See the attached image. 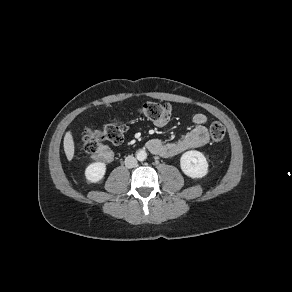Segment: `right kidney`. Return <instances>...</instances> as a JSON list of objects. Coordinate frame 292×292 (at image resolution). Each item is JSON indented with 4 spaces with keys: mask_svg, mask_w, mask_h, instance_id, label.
<instances>
[{
    "mask_svg": "<svg viewBox=\"0 0 292 292\" xmlns=\"http://www.w3.org/2000/svg\"><path fill=\"white\" fill-rule=\"evenodd\" d=\"M106 173V164L103 162H95L87 166L85 177L88 182L97 183L103 179Z\"/></svg>",
    "mask_w": 292,
    "mask_h": 292,
    "instance_id": "ca27d5eb",
    "label": "right kidney"
}]
</instances>
